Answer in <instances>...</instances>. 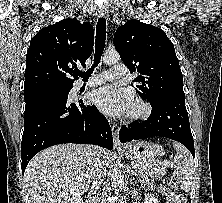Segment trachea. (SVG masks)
Masks as SVG:
<instances>
[{"label": "trachea", "mask_w": 222, "mask_h": 203, "mask_svg": "<svg viewBox=\"0 0 222 203\" xmlns=\"http://www.w3.org/2000/svg\"><path fill=\"white\" fill-rule=\"evenodd\" d=\"M106 40V20L104 17L98 19L96 25V43H95V55H94V64L87 72H77V74L87 80L94 71V68L100 63L101 56L105 47Z\"/></svg>", "instance_id": "3493384b"}]
</instances>
